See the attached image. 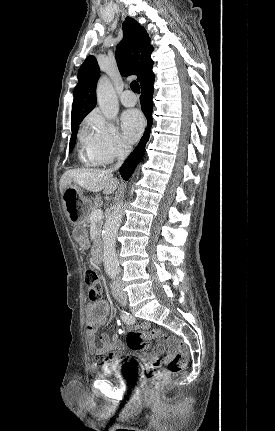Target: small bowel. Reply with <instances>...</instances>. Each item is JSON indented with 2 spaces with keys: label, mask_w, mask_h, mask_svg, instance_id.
<instances>
[{
  "label": "small bowel",
  "mask_w": 275,
  "mask_h": 431,
  "mask_svg": "<svg viewBox=\"0 0 275 431\" xmlns=\"http://www.w3.org/2000/svg\"><path fill=\"white\" fill-rule=\"evenodd\" d=\"M75 240L82 246L86 247L88 244L87 235L83 230L76 229L74 231ZM86 312V339L88 351L95 355L96 364L107 366L110 363L118 362L122 359V351L124 345L117 335L109 336L108 334H101L99 337L100 345L96 341V332L99 326L105 325L108 319L109 305L107 301H93L85 306ZM140 330L148 328L147 323H141L137 326ZM174 350L175 346H171ZM163 350V344H159L150 356V362L158 363V355ZM141 360L146 361L147 356H141Z\"/></svg>",
  "instance_id": "obj_1"
}]
</instances>
